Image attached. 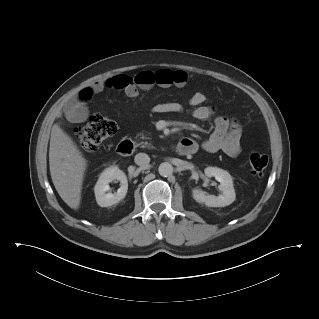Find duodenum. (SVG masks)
<instances>
[{
	"label": "duodenum",
	"instance_id": "duodenum-1",
	"mask_svg": "<svg viewBox=\"0 0 319 319\" xmlns=\"http://www.w3.org/2000/svg\"><path fill=\"white\" fill-rule=\"evenodd\" d=\"M134 149V143L131 140H123L117 146V152L120 155H129ZM196 149V143L193 140L182 139L177 146V153L181 156L193 154Z\"/></svg>",
	"mask_w": 319,
	"mask_h": 319
}]
</instances>
